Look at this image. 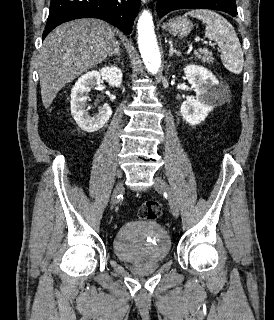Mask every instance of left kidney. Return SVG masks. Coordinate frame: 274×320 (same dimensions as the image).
<instances>
[{
  "label": "left kidney",
  "mask_w": 274,
  "mask_h": 320,
  "mask_svg": "<svg viewBox=\"0 0 274 320\" xmlns=\"http://www.w3.org/2000/svg\"><path fill=\"white\" fill-rule=\"evenodd\" d=\"M184 76L194 88L196 96L195 100L182 102L180 114L187 124L197 126L204 122L215 106L224 104L223 88L216 76L202 66H185Z\"/></svg>",
  "instance_id": "obj_1"
}]
</instances>
